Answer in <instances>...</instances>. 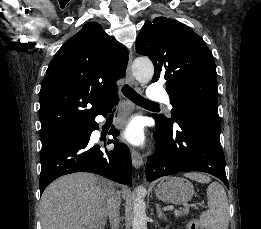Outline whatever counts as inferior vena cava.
<instances>
[{"mask_svg": "<svg viewBox=\"0 0 261 229\" xmlns=\"http://www.w3.org/2000/svg\"><path fill=\"white\" fill-rule=\"evenodd\" d=\"M120 201L116 197V193H113L108 203V217L111 225V229H119L120 223Z\"/></svg>", "mask_w": 261, "mask_h": 229, "instance_id": "obj_1", "label": "inferior vena cava"}]
</instances>
